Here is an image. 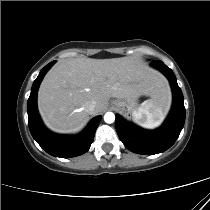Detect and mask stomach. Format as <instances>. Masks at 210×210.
<instances>
[{
    "instance_id": "0dacf381",
    "label": "stomach",
    "mask_w": 210,
    "mask_h": 210,
    "mask_svg": "<svg viewBox=\"0 0 210 210\" xmlns=\"http://www.w3.org/2000/svg\"><path fill=\"white\" fill-rule=\"evenodd\" d=\"M111 105L119 112L125 115H131L134 111L139 108L138 100L136 99H115L111 102Z\"/></svg>"
}]
</instances>
